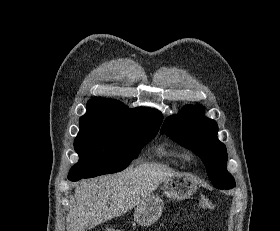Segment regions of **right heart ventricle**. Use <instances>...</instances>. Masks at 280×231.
Returning a JSON list of instances; mask_svg holds the SVG:
<instances>
[{
    "label": "right heart ventricle",
    "instance_id": "e07e8e85",
    "mask_svg": "<svg viewBox=\"0 0 280 231\" xmlns=\"http://www.w3.org/2000/svg\"><path fill=\"white\" fill-rule=\"evenodd\" d=\"M154 152L171 165L179 166L184 162V150L174 144L158 142L153 147Z\"/></svg>",
    "mask_w": 280,
    "mask_h": 231
}]
</instances>
